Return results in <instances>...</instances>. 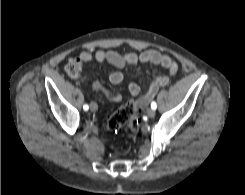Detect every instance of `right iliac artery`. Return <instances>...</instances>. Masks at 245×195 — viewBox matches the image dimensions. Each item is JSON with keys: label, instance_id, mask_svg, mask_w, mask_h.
Instances as JSON below:
<instances>
[{"label": "right iliac artery", "instance_id": "1", "mask_svg": "<svg viewBox=\"0 0 245 195\" xmlns=\"http://www.w3.org/2000/svg\"><path fill=\"white\" fill-rule=\"evenodd\" d=\"M83 109H84L85 111H87V110L89 109V106H88L87 104H85V105L83 106Z\"/></svg>", "mask_w": 245, "mask_h": 195}]
</instances>
